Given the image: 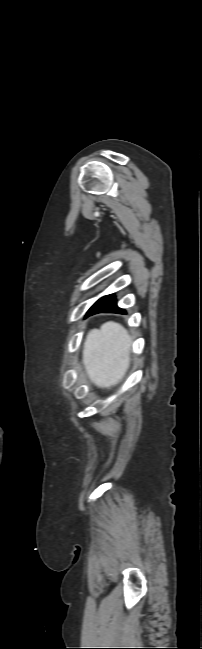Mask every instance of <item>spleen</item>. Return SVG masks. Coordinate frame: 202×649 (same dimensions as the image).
Wrapping results in <instances>:
<instances>
[{"instance_id":"spleen-1","label":"spleen","mask_w":202,"mask_h":649,"mask_svg":"<svg viewBox=\"0 0 202 649\" xmlns=\"http://www.w3.org/2000/svg\"><path fill=\"white\" fill-rule=\"evenodd\" d=\"M131 338L118 323L107 322L89 333L83 349V362L89 378L99 387L117 384L129 367Z\"/></svg>"}]
</instances>
